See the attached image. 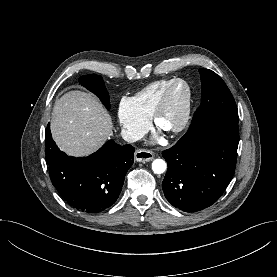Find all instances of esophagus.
Segmentation results:
<instances>
[{
    "mask_svg": "<svg viewBox=\"0 0 277 277\" xmlns=\"http://www.w3.org/2000/svg\"><path fill=\"white\" fill-rule=\"evenodd\" d=\"M134 158L137 162H149L154 158V153L150 150L138 149L135 151Z\"/></svg>",
    "mask_w": 277,
    "mask_h": 277,
    "instance_id": "34e87169",
    "label": "esophagus"
}]
</instances>
